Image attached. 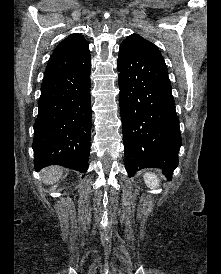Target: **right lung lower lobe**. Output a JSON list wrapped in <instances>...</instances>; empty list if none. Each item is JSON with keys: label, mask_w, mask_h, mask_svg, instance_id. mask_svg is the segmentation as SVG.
Segmentation results:
<instances>
[{"label": "right lung lower lobe", "mask_w": 221, "mask_h": 274, "mask_svg": "<svg viewBox=\"0 0 221 274\" xmlns=\"http://www.w3.org/2000/svg\"><path fill=\"white\" fill-rule=\"evenodd\" d=\"M90 71L91 60L43 80L34 124L36 171L61 165L87 172L92 117Z\"/></svg>", "instance_id": "98d812e1"}]
</instances>
